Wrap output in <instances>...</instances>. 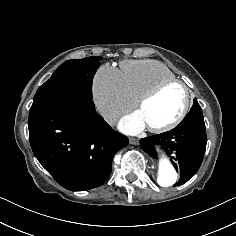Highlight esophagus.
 Returning <instances> with one entry per match:
<instances>
[{
	"label": "esophagus",
	"instance_id": "34e87169",
	"mask_svg": "<svg viewBox=\"0 0 236 236\" xmlns=\"http://www.w3.org/2000/svg\"><path fill=\"white\" fill-rule=\"evenodd\" d=\"M129 143L130 144H133V145H137L139 143L138 139L137 138H129Z\"/></svg>",
	"mask_w": 236,
	"mask_h": 236
}]
</instances>
